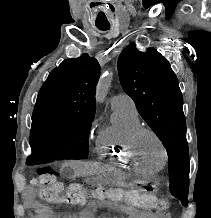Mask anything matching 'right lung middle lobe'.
I'll list each match as a JSON object with an SVG mask.
<instances>
[{
	"instance_id": "obj_1",
	"label": "right lung middle lobe",
	"mask_w": 211,
	"mask_h": 218,
	"mask_svg": "<svg viewBox=\"0 0 211 218\" xmlns=\"http://www.w3.org/2000/svg\"><path fill=\"white\" fill-rule=\"evenodd\" d=\"M94 114L35 108L30 141L43 145L71 143L88 156V138Z\"/></svg>"
}]
</instances>
